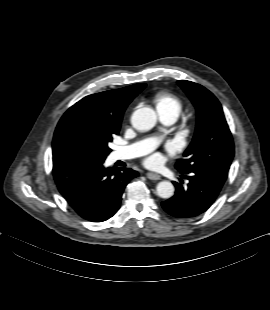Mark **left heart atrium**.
Returning a JSON list of instances; mask_svg holds the SVG:
<instances>
[{
	"instance_id": "left-heart-atrium-1",
	"label": "left heart atrium",
	"mask_w": 270,
	"mask_h": 310,
	"mask_svg": "<svg viewBox=\"0 0 270 310\" xmlns=\"http://www.w3.org/2000/svg\"><path fill=\"white\" fill-rule=\"evenodd\" d=\"M159 156L157 154L152 155L150 158H148L147 163L149 165L156 164L158 162Z\"/></svg>"
}]
</instances>
